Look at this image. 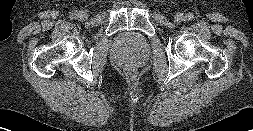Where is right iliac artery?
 I'll list each match as a JSON object with an SVG mask.
<instances>
[{
    "label": "right iliac artery",
    "mask_w": 253,
    "mask_h": 131,
    "mask_svg": "<svg viewBox=\"0 0 253 131\" xmlns=\"http://www.w3.org/2000/svg\"><path fill=\"white\" fill-rule=\"evenodd\" d=\"M77 16H78L77 11H72V12L70 13V17H71V18H76Z\"/></svg>",
    "instance_id": "right-iliac-artery-1"
}]
</instances>
